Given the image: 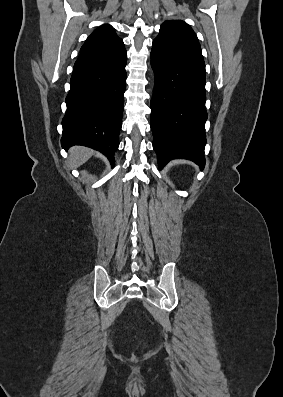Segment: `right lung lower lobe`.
I'll use <instances>...</instances> for the list:
<instances>
[{
  "label": "right lung lower lobe",
  "mask_w": 283,
  "mask_h": 397,
  "mask_svg": "<svg viewBox=\"0 0 283 397\" xmlns=\"http://www.w3.org/2000/svg\"><path fill=\"white\" fill-rule=\"evenodd\" d=\"M127 57L109 65L74 71L62 120V147L83 145L103 153L114 165L122 126Z\"/></svg>",
  "instance_id": "right-lung-lower-lobe-1"
}]
</instances>
